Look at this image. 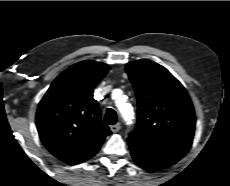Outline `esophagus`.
<instances>
[{
  "mask_svg": "<svg viewBox=\"0 0 230 186\" xmlns=\"http://www.w3.org/2000/svg\"><path fill=\"white\" fill-rule=\"evenodd\" d=\"M120 128H121V126H120V124H115V125H112V126H110V129H111V131L113 132V133H116V132H118L119 130H120Z\"/></svg>",
  "mask_w": 230,
  "mask_h": 186,
  "instance_id": "34e87169",
  "label": "esophagus"
}]
</instances>
